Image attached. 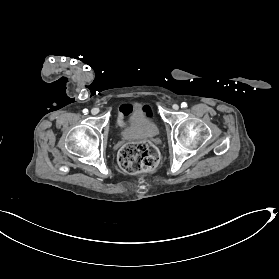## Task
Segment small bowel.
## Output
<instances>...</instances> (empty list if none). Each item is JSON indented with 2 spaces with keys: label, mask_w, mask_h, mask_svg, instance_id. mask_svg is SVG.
Instances as JSON below:
<instances>
[{
  "label": "small bowel",
  "mask_w": 279,
  "mask_h": 279,
  "mask_svg": "<svg viewBox=\"0 0 279 279\" xmlns=\"http://www.w3.org/2000/svg\"><path fill=\"white\" fill-rule=\"evenodd\" d=\"M131 106L130 105H122L120 107L118 119H117V124L121 126L123 124V116L130 110ZM148 112H150V109L148 106L144 107Z\"/></svg>",
  "instance_id": "1"
}]
</instances>
